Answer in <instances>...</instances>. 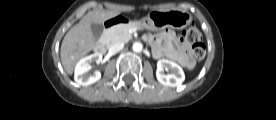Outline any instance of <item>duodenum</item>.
<instances>
[{"label": "duodenum", "instance_id": "1", "mask_svg": "<svg viewBox=\"0 0 276 120\" xmlns=\"http://www.w3.org/2000/svg\"><path fill=\"white\" fill-rule=\"evenodd\" d=\"M132 23V18L127 15H115L114 17L108 18L104 21V26L108 30L116 25L129 26ZM95 51L98 54H105L107 51V46L104 41L97 44Z\"/></svg>", "mask_w": 276, "mask_h": 120}]
</instances>
